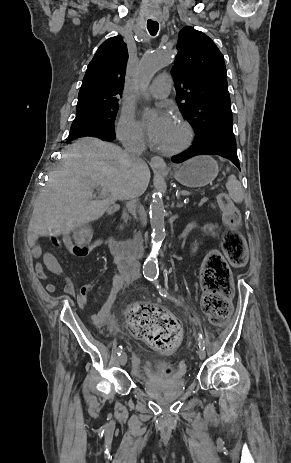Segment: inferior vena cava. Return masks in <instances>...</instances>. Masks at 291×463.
Wrapping results in <instances>:
<instances>
[{"instance_id": "obj_1", "label": "inferior vena cava", "mask_w": 291, "mask_h": 463, "mask_svg": "<svg viewBox=\"0 0 291 463\" xmlns=\"http://www.w3.org/2000/svg\"><path fill=\"white\" fill-rule=\"evenodd\" d=\"M123 147L125 148V153L127 158L132 163H138L141 161L140 155L146 149V146L142 140V137L138 134H135L129 138H126L122 141ZM139 213H142V206H138ZM144 226V222H142Z\"/></svg>"}]
</instances>
